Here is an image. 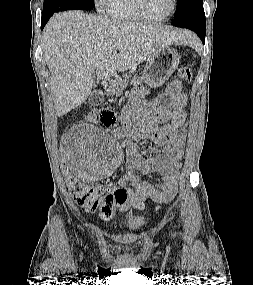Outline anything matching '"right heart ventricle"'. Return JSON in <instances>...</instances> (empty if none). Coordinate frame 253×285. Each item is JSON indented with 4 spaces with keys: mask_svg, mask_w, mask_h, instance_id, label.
<instances>
[{
    "mask_svg": "<svg viewBox=\"0 0 253 285\" xmlns=\"http://www.w3.org/2000/svg\"><path fill=\"white\" fill-rule=\"evenodd\" d=\"M106 13L116 20L121 21H143L139 13L136 0H105Z\"/></svg>",
    "mask_w": 253,
    "mask_h": 285,
    "instance_id": "e07e8e85",
    "label": "right heart ventricle"
}]
</instances>
